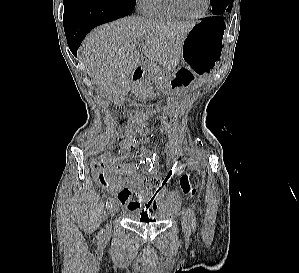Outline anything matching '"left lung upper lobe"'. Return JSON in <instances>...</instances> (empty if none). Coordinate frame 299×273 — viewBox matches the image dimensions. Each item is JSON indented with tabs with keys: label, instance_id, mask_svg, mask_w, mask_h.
<instances>
[{
	"label": "left lung upper lobe",
	"instance_id": "obj_1",
	"mask_svg": "<svg viewBox=\"0 0 299 273\" xmlns=\"http://www.w3.org/2000/svg\"><path fill=\"white\" fill-rule=\"evenodd\" d=\"M213 14H223L230 12L233 0H210Z\"/></svg>",
	"mask_w": 299,
	"mask_h": 273
}]
</instances>
